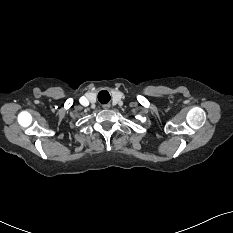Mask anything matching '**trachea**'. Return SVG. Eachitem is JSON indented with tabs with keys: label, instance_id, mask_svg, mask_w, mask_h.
Instances as JSON below:
<instances>
[{
	"label": "trachea",
	"instance_id": "trachea-1",
	"mask_svg": "<svg viewBox=\"0 0 233 233\" xmlns=\"http://www.w3.org/2000/svg\"><path fill=\"white\" fill-rule=\"evenodd\" d=\"M98 99L101 103H107L110 100V95L104 90L98 94Z\"/></svg>",
	"mask_w": 233,
	"mask_h": 233
}]
</instances>
